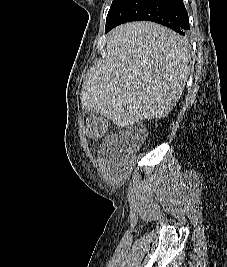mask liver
Masks as SVG:
<instances>
[{
	"label": "liver",
	"mask_w": 227,
	"mask_h": 267,
	"mask_svg": "<svg viewBox=\"0 0 227 267\" xmlns=\"http://www.w3.org/2000/svg\"><path fill=\"white\" fill-rule=\"evenodd\" d=\"M188 41L162 25H120L107 36V55L88 74L82 107L119 127L169 114L190 73Z\"/></svg>",
	"instance_id": "liver-1"
}]
</instances>
